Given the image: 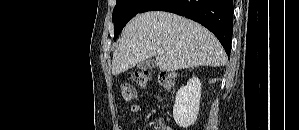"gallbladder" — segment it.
I'll return each instance as SVG.
<instances>
[{"instance_id": "1", "label": "gallbladder", "mask_w": 299, "mask_h": 130, "mask_svg": "<svg viewBox=\"0 0 299 130\" xmlns=\"http://www.w3.org/2000/svg\"><path fill=\"white\" fill-rule=\"evenodd\" d=\"M156 67H157L156 62L151 59H147L137 64V68L140 70H149V69H154Z\"/></svg>"}]
</instances>
